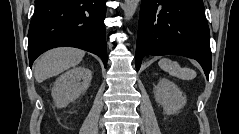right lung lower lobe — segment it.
I'll list each match as a JSON object with an SVG mask.
<instances>
[{
  "instance_id": "right-lung-lower-lobe-1",
  "label": "right lung lower lobe",
  "mask_w": 239,
  "mask_h": 134,
  "mask_svg": "<svg viewBox=\"0 0 239 134\" xmlns=\"http://www.w3.org/2000/svg\"><path fill=\"white\" fill-rule=\"evenodd\" d=\"M107 0H35L28 31L29 65L43 52L61 46L98 55L107 65L104 19Z\"/></svg>"
}]
</instances>
